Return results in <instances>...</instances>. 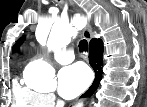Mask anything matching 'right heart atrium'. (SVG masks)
Instances as JSON below:
<instances>
[{"mask_svg": "<svg viewBox=\"0 0 147 107\" xmlns=\"http://www.w3.org/2000/svg\"><path fill=\"white\" fill-rule=\"evenodd\" d=\"M42 101H43V105L51 106L55 103V97L51 93L43 94Z\"/></svg>", "mask_w": 147, "mask_h": 107, "instance_id": "1", "label": "right heart atrium"}]
</instances>
